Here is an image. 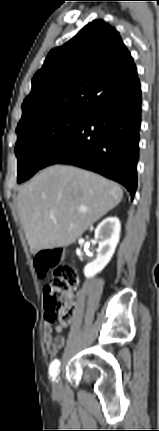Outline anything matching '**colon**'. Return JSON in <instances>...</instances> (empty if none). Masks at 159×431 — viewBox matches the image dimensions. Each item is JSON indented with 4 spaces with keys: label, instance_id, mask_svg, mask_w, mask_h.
I'll use <instances>...</instances> for the list:
<instances>
[{
    "label": "colon",
    "instance_id": "1",
    "mask_svg": "<svg viewBox=\"0 0 159 431\" xmlns=\"http://www.w3.org/2000/svg\"><path fill=\"white\" fill-rule=\"evenodd\" d=\"M65 259V253L58 249L42 251L35 257V268L41 277L53 271L44 288V304L48 321L62 319L66 322L72 316L68 294L77 284L78 277L75 268Z\"/></svg>",
    "mask_w": 159,
    "mask_h": 431
}]
</instances>
